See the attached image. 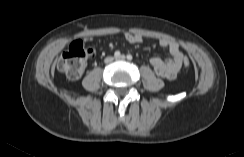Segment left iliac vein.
Returning <instances> with one entry per match:
<instances>
[{
    "label": "left iliac vein",
    "mask_w": 244,
    "mask_h": 157,
    "mask_svg": "<svg viewBox=\"0 0 244 157\" xmlns=\"http://www.w3.org/2000/svg\"><path fill=\"white\" fill-rule=\"evenodd\" d=\"M125 59H126V57L124 55H121L116 58V60H121V61H124Z\"/></svg>",
    "instance_id": "left-iliac-vein-1"
}]
</instances>
